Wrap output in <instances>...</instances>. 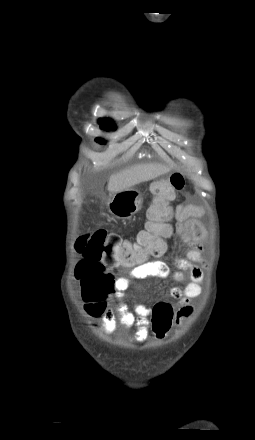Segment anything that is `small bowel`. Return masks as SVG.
I'll return each mask as SVG.
<instances>
[{"mask_svg": "<svg viewBox=\"0 0 255 440\" xmlns=\"http://www.w3.org/2000/svg\"><path fill=\"white\" fill-rule=\"evenodd\" d=\"M203 208L200 205H183L175 207L174 232L182 237L188 249L184 256L175 260L178 268L173 274V279L181 284L185 280V273H188L190 281L183 285H177L170 289V296L175 299L177 310L175 312V325L181 326L183 321L190 317L194 311L192 300L201 294V283L203 282V269L206 261L203 258L201 241L205 232L200 222ZM171 235V229L167 236ZM163 242V241H162ZM164 244V243H163ZM165 247V245H164ZM166 250V247H165ZM165 252V251H164ZM83 271L78 273L80 280ZM170 275L169 266L163 261H150L133 268L128 275L118 277L113 282V289L116 297L120 300L117 307V314L109 309L102 315V329L105 334L113 333L118 325L124 328H135L133 340L137 343L146 341L149 337L151 308L136 304L132 309L123 301L125 292L129 289L135 279L150 277L165 278Z\"/></svg>", "mask_w": 255, "mask_h": 440, "instance_id": "small-bowel-1", "label": "small bowel"}]
</instances>
